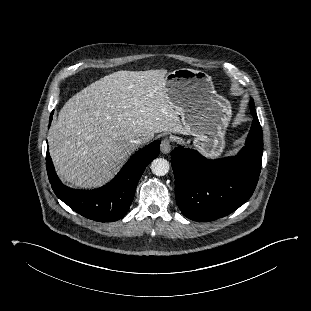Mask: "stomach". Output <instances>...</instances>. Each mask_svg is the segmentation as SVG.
<instances>
[{
  "label": "stomach",
  "instance_id": "stomach-1",
  "mask_svg": "<svg viewBox=\"0 0 311 311\" xmlns=\"http://www.w3.org/2000/svg\"><path fill=\"white\" fill-rule=\"evenodd\" d=\"M165 88L184 126L195 136L194 145L206 156L220 155L232 113L230 103L214 90L211 77L200 70L180 68L165 76Z\"/></svg>",
  "mask_w": 311,
  "mask_h": 311
}]
</instances>
